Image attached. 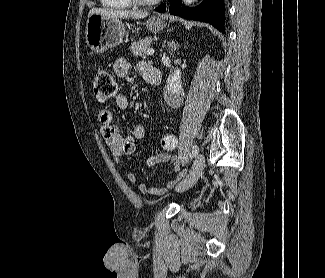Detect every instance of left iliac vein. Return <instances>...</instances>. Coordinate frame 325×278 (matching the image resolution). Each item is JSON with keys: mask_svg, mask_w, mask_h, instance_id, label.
Listing matches in <instances>:
<instances>
[{"mask_svg": "<svg viewBox=\"0 0 325 278\" xmlns=\"http://www.w3.org/2000/svg\"><path fill=\"white\" fill-rule=\"evenodd\" d=\"M204 166H205V157L203 154H199L192 165V169L189 175L176 186V191L184 192L190 189L201 176Z\"/></svg>", "mask_w": 325, "mask_h": 278, "instance_id": "left-iliac-vein-1", "label": "left iliac vein"}]
</instances>
